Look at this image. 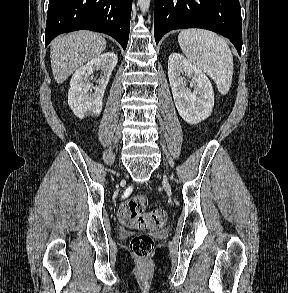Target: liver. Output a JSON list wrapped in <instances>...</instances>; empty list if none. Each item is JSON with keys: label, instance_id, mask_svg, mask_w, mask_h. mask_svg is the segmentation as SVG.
Instances as JSON below:
<instances>
[{"label": "liver", "instance_id": "6515ba94", "mask_svg": "<svg viewBox=\"0 0 288 293\" xmlns=\"http://www.w3.org/2000/svg\"><path fill=\"white\" fill-rule=\"evenodd\" d=\"M106 48L102 35L77 31L60 35L51 42L50 59L54 79L63 83L87 61L99 56Z\"/></svg>", "mask_w": 288, "mask_h": 293}]
</instances>
